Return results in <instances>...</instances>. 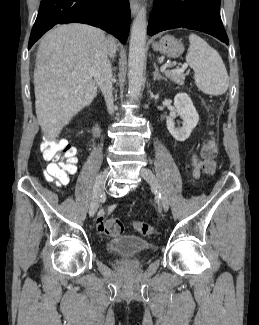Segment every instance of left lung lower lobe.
Returning a JSON list of instances; mask_svg holds the SVG:
<instances>
[{
  "mask_svg": "<svg viewBox=\"0 0 259 325\" xmlns=\"http://www.w3.org/2000/svg\"><path fill=\"white\" fill-rule=\"evenodd\" d=\"M221 0H155L148 22L150 36L173 28L208 33L228 45L220 17Z\"/></svg>",
  "mask_w": 259,
  "mask_h": 325,
  "instance_id": "1",
  "label": "left lung lower lobe"
}]
</instances>
